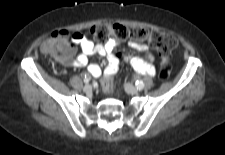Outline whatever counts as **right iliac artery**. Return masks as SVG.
<instances>
[{
    "label": "right iliac artery",
    "mask_w": 225,
    "mask_h": 155,
    "mask_svg": "<svg viewBox=\"0 0 225 155\" xmlns=\"http://www.w3.org/2000/svg\"><path fill=\"white\" fill-rule=\"evenodd\" d=\"M89 81H90V79H89L88 77H85V79H84V83L88 84V83H89Z\"/></svg>",
    "instance_id": "1"
}]
</instances>
